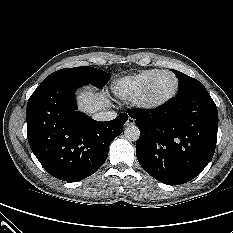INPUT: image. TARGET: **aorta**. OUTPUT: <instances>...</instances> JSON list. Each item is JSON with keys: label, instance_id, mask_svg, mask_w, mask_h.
Listing matches in <instances>:
<instances>
[{"label": "aorta", "instance_id": "obj_1", "mask_svg": "<svg viewBox=\"0 0 233 233\" xmlns=\"http://www.w3.org/2000/svg\"><path fill=\"white\" fill-rule=\"evenodd\" d=\"M124 136L128 141H137L140 136L139 128L135 125H129L124 131Z\"/></svg>", "mask_w": 233, "mask_h": 233}]
</instances>
